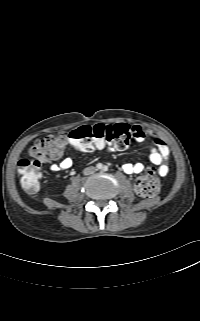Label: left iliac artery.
<instances>
[{
	"label": "left iliac artery",
	"instance_id": "1",
	"mask_svg": "<svg viewBox=\"0 0 200 321\" xmlns=\"http://www.w3.org/2000/svg\"><path fill=\"white\" fill-rule=\"evenodd\" d=\"M108 170V167L107 166H104L103 167V171H107Z\"/></svg>",
	"mask_w": 200,
	"mask_h": 321
}]
</instances>
